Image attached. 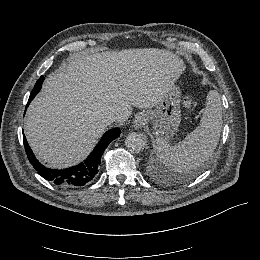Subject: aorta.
I'll return each mask as SVG.
<instances>
[{
	"label": "aorta",
	"instance_id": "762f6f07",
	"mask_svg": "<svg viewBox=\"0 0 260 260\" xmlns=\"http://www.w3.org/2000/svg\"><path fill=\"white\" fill-rule=\"evenodd\" d=\"M125 145L132 153H139L143 151L147 145L146 136L136 132L130 133L125 140Z\"/></svg>",
	"mask_w": 260,
	"mask_h": 260
}]
</instances>
